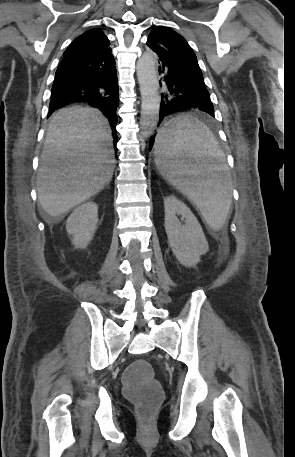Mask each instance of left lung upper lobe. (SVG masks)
I'll use <instances>...</instances> for the list:
<instances>
[{
	"mask_svg": "<svg viewBox=\"0 0 295 457\" xmlns=\"http://www.w3.org/2000/svg\"><path fill=\"white\" fill-rule=\"evenodd\" d=\"M162 46L168 52L199 67L196 55L183 36L174 30L159 27L151 31L148 40Z\"/></svg>",
	"mask_w": 295,
	"mask_h": 457,
	"instance_id": "1",
	"label": "left lung upper lobe"
}]
</instances>
